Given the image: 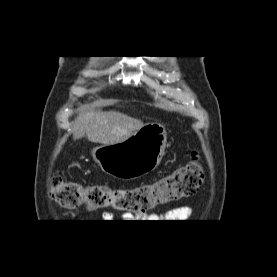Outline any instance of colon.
Wrapping results in <instances>:
<instances>
[{"label":"colon","instance_id":"1","mask_svg":"<svg viewBox=\"0 0 277 277\" xmlns=\"http://www.w3.org/2000/svg\"><path fill=\"white\" fill-rule=\"evenodd\" d=\"M204 179V170L196 152L192 160L160 180L134 188H112L105 185H83L53 175L50 195L63 207L89 210L112 208L133 214H145L158 205L192 196Z\"/></svg>","mask_w":277,"mask_h":277}]
</instances>
